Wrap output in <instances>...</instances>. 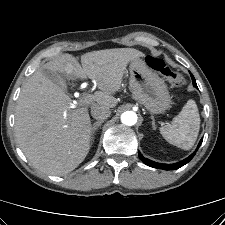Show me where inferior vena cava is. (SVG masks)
Masks as SVG:
<instances>
[{
    "mask_svg": "<svg viewBox=\"0 0 225 225\" xmlns=\"http://www.w3.org/2000/svg\"><path fill=\"white\" fill-rule=\"evenodd\" d=\"M91 115L98 121H103L111 115L109 107L95 105L91 108Z\"/></svg>",
    "mask_w": 225,
    "mask_h": 225,
    "instance_id": "602c4592",
    "label": "inferior vena cava"
}]
</instances>
